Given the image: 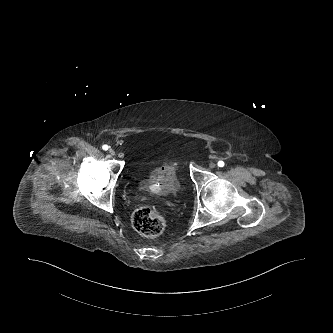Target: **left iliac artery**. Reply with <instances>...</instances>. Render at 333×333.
<instances>
[{"mask_svg":"<svg viewBox=\"0 0 333 333\" xmlns=\"http://www.w3.org/2000/svg\"><path fill=\"white\" fill-rule=\"evenodd\" d=\"M224 165H225V163H224L223 161H219V162H218V166H219V167H223Z\"/></svg>","mask_w":333,"mask_h":333,"instance_id":"left-iliac-artery-1","label":"left iliac artery"}]
</instances>
